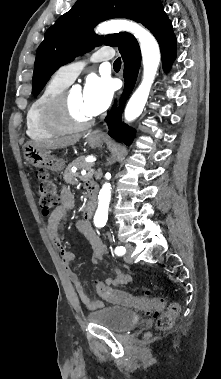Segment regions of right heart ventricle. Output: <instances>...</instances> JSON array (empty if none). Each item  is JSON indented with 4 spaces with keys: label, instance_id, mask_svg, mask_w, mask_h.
Returning <instances> with one entry per match:
<instances>
[{
    "label": "right heart ventricle",
    "instance_id": "e07e8e85",
    "mask_svg": "<svg viewBox=\"0 0 221 379\" xmlns=\"http://www.w3.org/2000/svg\"><path fill=\"white\" fill-rule=\"evenodd\" d=\"M69 83L54 75L44 86L41 93L31 103L26 114V132L33 140L49 139L60 133L50 129L44 121V113L47 105L63 90Z\"/></svg>",
    "mask_w": 221,
    "mask_h": 379
}]
</instances>
